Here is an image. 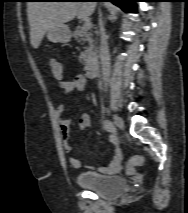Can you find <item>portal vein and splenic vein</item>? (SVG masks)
I'll use <instances>...</instances> for the list:
<instances>
[{"label":"portal vein and splenic vein","mask_w":188,"mask_h":213,"mask_svg":"<svg viewBox=\"0 0 188 213\" xmlns=\"http://www.w3.org/2000/svg\"><path fill=\"white\" fill-rule=\"evenodd\" d=\"M91 26H92V24H91L90 21H85V22H84V25H83V28H84V29H89Z\"/></svg>","instance_id":"18ae733b"}]
</instances>
